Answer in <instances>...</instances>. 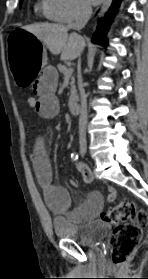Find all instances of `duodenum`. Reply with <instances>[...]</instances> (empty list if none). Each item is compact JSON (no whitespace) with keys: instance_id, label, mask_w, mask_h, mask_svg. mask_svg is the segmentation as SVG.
Returning <instances> with one entry per match:
<instances>
[{"instance_id":"1","label":"duodenum","mask_w":148,"mask_h":279,"mask_svg":"<svg viewBox=\"0 0 148 279\" xmlns=\"http://www.w3.org/2000/svg\"><path fill=\"white\" fill-rule=\"evenodd\" d=\"M69 110L72 115H78L81 110V106L78 100H70L69 101Z\"/></svg>"}]
</instances>
